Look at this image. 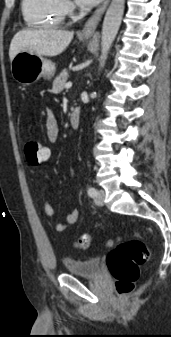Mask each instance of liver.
I'll list each match as a JSON object with an SVG mask.
<instances>
[{
	"label": "liver",
	"mask_w": 171,
	"mask_h": 337,
	"mask_svg": "<svg viewBox=\"0 0 171 337\" xmlns=\"http://www.w3.org/2000/svg\"><path fill=\"white\" fill-rule=\"evenodd\" d=\"M73 32L57 29H26L13 37L10 48V61L22 51L40 56H57L61 54L73 39Z\"/></svg>",
	"instance_id": "liver-1"
}]
</instances>
